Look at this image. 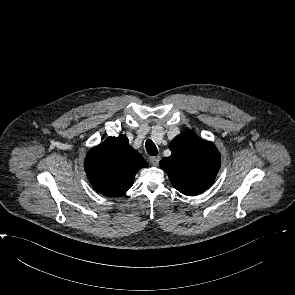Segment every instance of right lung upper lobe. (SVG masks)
I'll list each match as a JSON object with an SVG mask.
<instances>
[{
    "mask_svg": "<svg viewBox=\"0 0 295 295\" xmlns=\"http://www.w3.org/2000/svg\"><path fill=\"white\" fill-rule=\"evenodd\" d=\"M128 143L124 135L108 137L87 154L84 169L99 193L109 197L123 195L133 185L136 173L148 166Z\"/></svg>",
    "mask_w": 295,
    "mask_h": 295,
    "instance_id": "cb5924a9",
    "label": "right lung upper lobe"
}]
</instances>
